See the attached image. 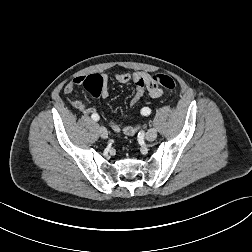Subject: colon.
<instances>
[{
  "label": "colon",
  "mask_w": 252,
  "mask_h": 252,
  "mask_svg": "<svg viewBox=\"0 0 252 252\" xmlns=\"http://www.w3.org/2000/svg\"><path fill=\"white\" fill-rule=\"evenodd\" d=\"M152 79L156 84L168 90H173L176 87L175 81L166 74L157 73L152 77ZM136 85V91L130 101L132 105L138 103L145 94L144 82L139 80ZM83 86L94 97H100L107 89V81L99 74H92L84 79Z\"/></svg>",
  "instance_id": "obj_1"
}]
</instances>
